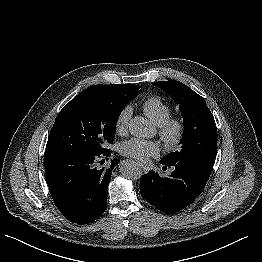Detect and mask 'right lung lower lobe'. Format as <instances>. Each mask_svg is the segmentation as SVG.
Instances as JSON below:
<instances>
[{"mask_svg":"<svg viewBox=\"0 0 262 262\" xmlns=\"http://www.w3.org/2000/svg\"><path fill=\"white\" fill-rule=\"evenodd\" d=\"M110 154V150L103 153L45 151L49 191L59 211L70 222L87 224L105 211L111 173L120 160L113 159L108 168L97 167V161Z\"/></svg>","mask_w":262,"mask_h":262,"instance_id":"obj_1","label":"right lung lower lobe"}]
</instances>
